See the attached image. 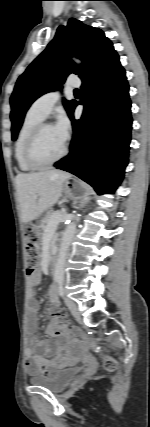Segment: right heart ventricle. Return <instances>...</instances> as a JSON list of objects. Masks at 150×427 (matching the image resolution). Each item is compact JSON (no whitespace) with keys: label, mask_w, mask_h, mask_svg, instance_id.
Here are the masks:
<instances>
[{"label":"right heart ventricle","mask_w":150,"mask_h":427,"mask_svg":"<svg viewBox=\"0 0 150 427\" xmlns=\"http://www.w3.org/2000/svg\"><path fill=\"white\" fill-rule=\"evenodd\" d=\"M43 121V118L34 113L31 109L26 113L23 122L18 131V135L14 144V155L17 165L21 171H33L25 159V145L32 130Z\"/></svg>","instance_id":"e07e8e85"}]
</instances>
